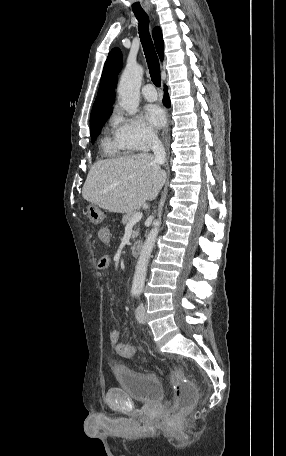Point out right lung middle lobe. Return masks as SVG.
I'll list each match as a JSON object with an SVG mask.
<instances>
[{
  "instance_id": "right-lung-middle-lobe-1",
  "label": "right lung middle lobe",
  "mask_w": 286,
  "mask_h": 456,
  "mask_svg": "<svg viewBox=\"0 0 286 456\" xmlns=\"http://www.w3.org/2000/svg\"><path fill=\"white\" fill-rule=\"evenodd\" d=\"M111 113H112V111L90 121V126H91L90 133H91L92 143L96 140L97 136L100 133L101 128L103 127L104 123L106 122V120L108 119V117L110 116Z\"/></svg>"
}]
</instances>
